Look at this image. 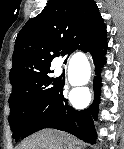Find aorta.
Here are the masks:
<instances>
[{"label": "aorta", "mask_w": 124, "mask_h": 149, "mask_svg": "<svg viewBox=\"0 0 124 149\" xmlns=\"http://www.w3.org/2000/svg\"><path fill=\"white\" fill-rule=\"evenodd\" d=\"M69 80L74 85H78L80 83H84L89 76V67L88 63L84 58H81L80 61L77 59H73L70 63V69H69ZM75 77H82V81H73L72 79Z\"/></svg>", "instance_id": "aorta-1"}]
</instances>
